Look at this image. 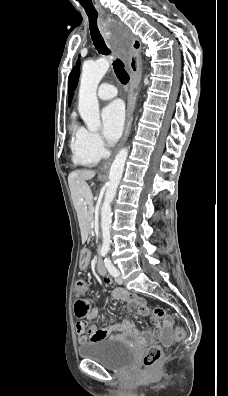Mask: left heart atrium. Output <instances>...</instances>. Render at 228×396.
Returning a JSON list of instances; mask_svg holds the SVG:
<instances>
[{
  "mask_svg": "<svg viewBox=\"0 0 228 396\" xmlns=\"http://www.w3.org/2000/svg\"><path fill=\"white\" fill-rule=\"evenodd\" d=\"M125 122V110L122 102L114 101L102 111L103 134L108 142L114 143L120 137Z\"/></svg>",
  "mask_w": 228,
  "mask_h": 396,
  "instance_id": "left-heart-atrium-1",
  "label": "left heart atrium"
}]
</instances>
